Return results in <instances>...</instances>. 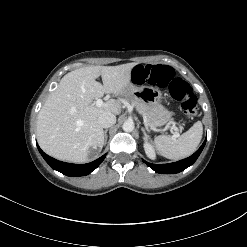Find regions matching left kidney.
<instances>
[{
    "mask_svg": "<svg viewBox=\"0 0 247 247\" xmlns=\"http://www.w3.org/2000/svg\"><path fill=\"white\" fill-rule=\"evenodd\" d=\"M144 150L149 159L151 160L156 159L155 149L153 145L150 142H148L146 139L144 140Z\"/></svg>",
    "mask_w": 247,
    "mask_h": 247,
    "instance_id": "left-kidney-1",
    "label": "left kidney"
}]
</instances>
